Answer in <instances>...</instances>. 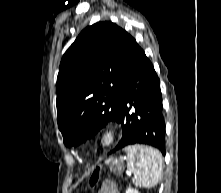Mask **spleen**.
Returning <instances> with one entry per match:
<instances>
[{
  "mask_svg": "<svg viewBox=\"0 0 221 193\" xmlns=\"http://www.w3.org/2000/svg\"><path fill=\"white\" fill-rule=\"evenodd\" d=\"M127 152V170L133 173L132 182L136 186L152 188L162 176V156L149 146H129Z\"/></svg>",
  "mask_w": 221,
  "mask_h": 193,
  "instance_id": "3e777b00",
  "label": "spleen"
}]
</instances>
